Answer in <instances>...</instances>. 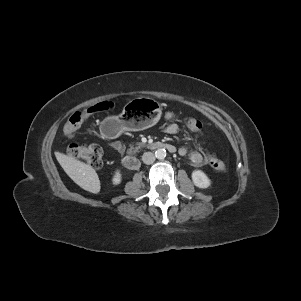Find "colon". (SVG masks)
<instances>
[{
	"label": "colon",
	"instance_id": "obj_1",
	"mask_svg": "<svg viewBox=\"0 0 301 301\" xmlns=\"http://www.w3.org/2000/svg\"><path fill=\"white\" fill-rule=\"evenodd\" d=\"M113 106V104L109 101H101L96 104L91 105L84 111H77L73 113L68 121L66 122L64 128H63V134L65 137L71 139L73 138L75 132L78 130V128L82 125V123L85 121V119L97 112L105 111L110 109ZM162 112L168 119H173L176 116V113L172 111L167 106L162 107ZM185 125L193 132L197 134L202 133V123L200 120L193 118V117H187L184 120ZM66 153L73 158L79 159L85 163H87L89 166L93 168H101L103 165V150L100 146L95 144H72L67 147ZM206 162L215 170L217 171H223L225 170V164L210 155L209 153L205 154Z\"/></svg>",
	"mask_w": 301,
	"mask_h": 301
}]
</instances>
